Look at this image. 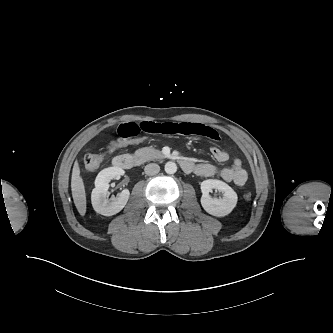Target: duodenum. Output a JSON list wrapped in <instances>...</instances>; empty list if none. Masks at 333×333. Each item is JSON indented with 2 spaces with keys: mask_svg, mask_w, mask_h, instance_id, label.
<instances>
[{
  "mask_svg": "<svg viewBox=\"0 0 333 333\" xmlns=\"http://www.w3.org/2000/svg\"><path fill=\"white\" fill-rule=\"evenodd\" d=\"M138 162L139 160L130 154H122L114 158V165L123 169H130L137 165ZM179 163L184 172H192L194 164L190 160L181 158L179 159Z\"/></svg>",
  "mask_w": 333,
  "mask_h": 333,
  "instance_id": "1",
  "label": "duodenum"
}]
</instances>
